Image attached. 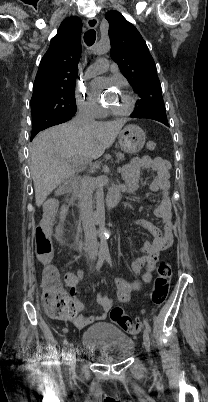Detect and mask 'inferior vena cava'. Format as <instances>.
Listing matches in <instances>:
<instances>
[{"label": "inferior vena cava", "instance_id": "602c4592", "mask_svg": "<svg viewBox=\"0 0 208 402\" xmlns=\"http://www.w3.org/2000/svg\"><path fill=\"white\" fill-rule=\"evenodd\" d=\"M93 104H85L79 108L77 116L72 120V126H86V124H93L94 118L91 114V108ZM94 190V184L92 178L84 176L81 180L80 192H79V208L80 216L82 220V226L84 230L86 246H97V234L95 228V220L92 210V194Z\"/></svg>", "mask_w": 208, "mask_h": 402}]
</instances>
